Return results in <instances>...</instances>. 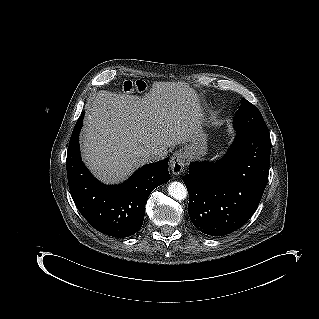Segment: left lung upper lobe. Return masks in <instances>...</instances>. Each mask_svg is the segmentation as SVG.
I'll list each match as a JSON object with an SVG mask.
<instances>
[{
    "label": "left lung upper lobe",
    "instance_id": "left-lung-upper-lobe-1",
    "mask_svg": "<svg viewBox=\"0 0 319 319\" xmlns=\"http://www.w3.org/2000/svg\"><path fill=\"white\" fill-rule=\"evenodd\" d=\"M236 111L234 117V128L242 134H264L269 135L267 126L260 111L246 99Z\"/></svg>",
    "mask_w": 319,
    "mask_h": 319
}]
</instances>
